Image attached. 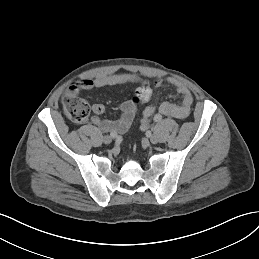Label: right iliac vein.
Segmentation results:
<instances>
[{"label":"right iliac vein","mask_w":259,"mask_h":259,"mask_svg":"<svg viewBox=\"0 0 259 259\" xmlns=\"http://www.w3.org/2000/svg\"><path fill=\"white\" fill-rule=\"evenodd\" d=\"M103 142H104L105 144H110V143L112 142V137L109 136V135L104 136V137H103Z\"/></svg>","instance_id":"obj_1"}]
</instances>
